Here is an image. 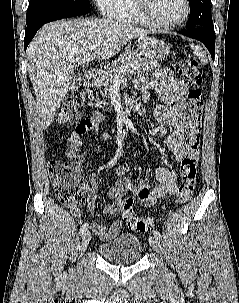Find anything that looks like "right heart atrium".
Segmentation results:
<instances>
[{
    "label": "right heart atrium",
    "mask_w": 239,
    "mask_h": 303,
    "mask_svg": "<svg viewBox=\"0 0 239 303\" xmlns=\"http://www.w3.org/2000/svg\"><path fill=\"white\" fill-rule=\"evenodd\" d=\"M99 11L106 17L114 18L120 11L123 0H93Z\"/></svg>",
    "instance_id": "right-heart-atrium-1"
}]
</instances>
